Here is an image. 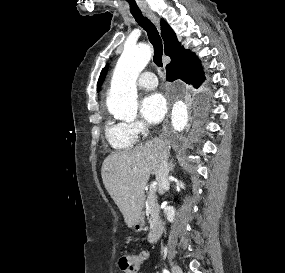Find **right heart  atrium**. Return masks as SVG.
Segmentation results:
<instances>
[{"label":"right heart atrium","mask_w":285,"mask_h":273,"mask_svg":"<svg viewBox=\"0 0 285 273\" xmlns=\"http://www.w3.org/2000/svg\"><path fill=\"white\" fill-rule=\"evenodd\" d=\"M128 127L130 131L137 137L138 135H141L146 130V125L142 121H134L131 123H128Z\"/></svg>","instance_id":"obj_1"}]
</instances>
